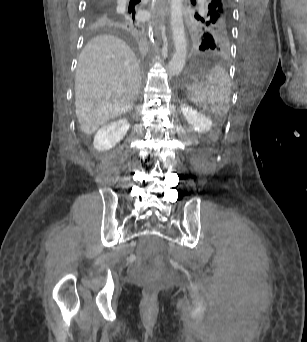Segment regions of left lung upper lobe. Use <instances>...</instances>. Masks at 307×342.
I'll return each mask as SVG.
<instances>
[{
  "label": "left lung upper lobe",
  "mask_w": 307,
  "mask_h": 342,
  "mask_svg": "<svg viewBox=\"0 0 307 342\" xmlns=\"http://www.w3.org/2000/svg\"><path fill=\"white\" fill-rule=\"evenodd\" d=\"M202 16L197 19L194 41L201 51L224 54L229 49L232 14L228 0H207ZM195 4V0H191Z\"/></svg>",
  "instance_id": "1"
}]
</instances>
